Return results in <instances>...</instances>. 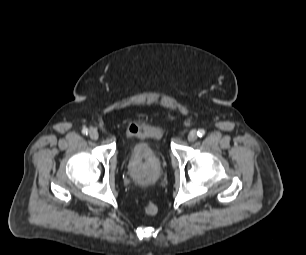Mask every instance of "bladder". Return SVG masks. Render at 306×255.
I'll list each match as a JSON object with an SVG mask.
<instances>
[{"label": "bladder", "mask_w": 306, "mask_h": 255, "mask_svg": "<svg viewBox=\"0 0 306 255\" xmlns=\"http://www.w3.org/2000/svg\"><path fill=\"white\" fill-rule=\"evenodd\" d=\"M125 149L131 166L156 165L163 156L164 133L155 124H139L125 137Z\"/></svg>", "instance_id": "31cf9c89"}]
</instances>
